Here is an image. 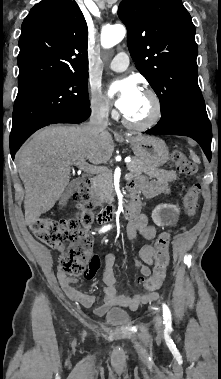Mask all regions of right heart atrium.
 Listing matches in <instances>:
<instances>
[{
  "mask_svg": "<svg viewBox=\"0 0 221 379\" xmlns=\"http://www.w3.org/2000/svg\"><path fill=\"white\" fill-rule=\"evenodd\" d=\"M89 106L92 113L99 117H108L112 112L100 89L93 85L89 88Z\"/></svg>",
  "mask_w": 221,
  "mask_h": 379,
  "instance_id": "d8ad5b80",
  "label": "right heart atrium"
}]
</instances>
